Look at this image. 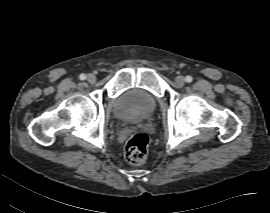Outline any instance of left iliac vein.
Returning a JSON list of instances; mask_svg holds the SVG:
<instances>
[{
    "label": "left iliac vein",
    "mask_w": 270,
    "mask_h": 213,
    "mask_svg": "<svg viewBox=\"0 0 270 213\" xmlns=\"http://www.w3.org/2000/svg\"><path fill=\"white\" fill-rule=\"evenodd\" d=\"M175 83L178 85V86H183L184 83H185V78L183 76H177L175 78Z\"/></svg>",
    "instance_id": "left-iliac-vein-1"
}]
</instances>
